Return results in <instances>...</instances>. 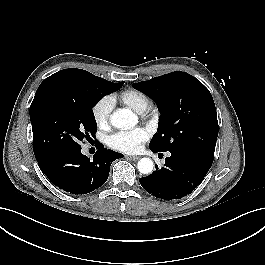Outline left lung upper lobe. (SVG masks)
<instances>
[{
    "mask_svg": "<svg viewBox=\"0 0 265 265\" xmlns=\"http://www.w3.org/2000/svg\"><path fill=\"white\" fill-rule=\"evenodd\" d=\"M132 86L153 98L161 112L151 150L193 152L213 161L217 113L211 93L199 80L176 71Z\"/></svg>",
    "mask_w": 265,
    "mask_h": 265,
    "instance_id": "left-lung-upper-lobe-1",
    "label": "left lung upper lobe"
}]
</instances>
